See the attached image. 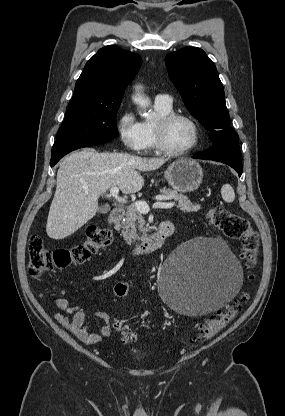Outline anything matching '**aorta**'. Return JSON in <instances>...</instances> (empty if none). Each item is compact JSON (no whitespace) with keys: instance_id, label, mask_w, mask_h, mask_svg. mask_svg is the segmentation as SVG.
<instances>
[{"instance_id":"aorta-1","label":"aorta","mask_w":285,"mask_h":416,"mask_svg":"<svg viewBox=\"0 0 285 416\" xmlns=\"http://www.w3.org/2000/svg\"><path fill=\"white\" fill-rule=\"evenodd\" d=\"M139 89V88H138ZM135 102L143 109H146L149 106V99L145 98L143 95H141V93H137L136 97H135ZM146 118L150 119L152 118V114L151 113H147Z\"/></svg>"}]
</instances>
